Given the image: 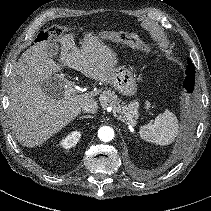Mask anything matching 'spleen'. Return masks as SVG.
<instances>
[{
  "label": "spleen",
  "mask_w": 211,
  "mask_h": 211,
  "mask_svg": "<svg viewBox=\"0 0 211 211\" xmlns=\"http://www.w3.org/2000/svg\"><path fill=\"white\" fill-rule=\"evenodd\" d=\"M179 133V124L176 116L166 109L160 113L153 124L143 125L140 128V137L157 145H168L174 141Z\"/></svg>",
  "instance_id": "3e777b00"
}]
</instances>
